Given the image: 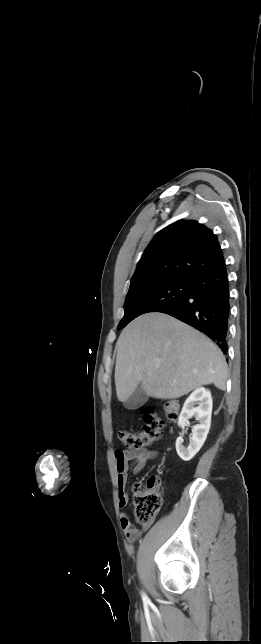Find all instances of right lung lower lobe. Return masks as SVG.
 <instances>
[{"mask_svg":"<svg viewBox=\"0 0 261 644\" xmlns=\"http://www.w3.org/2000/svg\"><path fill=\"white\" fill-rule=\"evenodd\" d=\"M229 300L228 274L223 262L193 277L184 298L159 312L171 315L205 333L225 353L230 316Z\"/></svg>","mask_w":261,"mask_h":644,"instance_id":"right-lung-lower-lobe-1","label":"right lung lower lobe"}]
</instances>
